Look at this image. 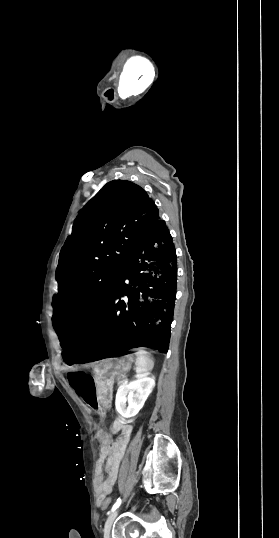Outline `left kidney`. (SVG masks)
I'll use <instances>...</instances> for the list:
<instances>
[{
    "instance_id": "obj_1",
    "label": "left kidney",
    "mask_w": 279,
    "mask_h": 538,
    "mask_svg": "<svg viewBox=\"0 0 279 538\" xmlns=\"http://www.w3.org/2000/svg\"><path fill=\"white\" fill-rule=\"evenodd\" d=\"M136 378L130 384H121L117 390L115 408L123 418L136 416L155 386L154 378H148L147 374H137Z\"/></svg>"
}]
</instances>
